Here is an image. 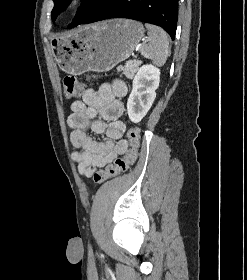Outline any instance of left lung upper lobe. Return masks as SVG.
<instances>
[{"label": "left lung upper lobe", "mask_w": 247, "mask_h": 280, "mask_svg": "<svg viewBox=\"0 0 247 280\" xmlns=\"http://www.w3.org/2000/svg\"><path fill=\"white\" fill-rule=\"evenodd\" d=\"M54 1V8L51 12L52 20L54 21L57 15L64 10L67 2L69 0H53ZM107 0H86V4L81 6L75 18L72 21L73 26H77L81 21H83L92 11H94L97 7L105 3Z\"/></svg>", "instance_id": "1"}]
</instances>
